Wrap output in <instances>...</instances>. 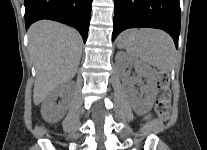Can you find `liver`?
<instances>
[{
    "label": "liver",
    "instance_id": "liver-1",
    "mask_svg": "<svg viewBox=\"0 0 207 150\" xmlns=\"http://www.w3.org/2000/svg\"><path fill=\"white\" fill-rule=\"evenodd\" d=\"M28 36L36 70L33 102L39 105L55 88L75 76L82 55V39L75 29L49 20L34 23Z\"/></svg>",
    "mask_w": 207,
    "mask_h": 150
}]
</instances>
